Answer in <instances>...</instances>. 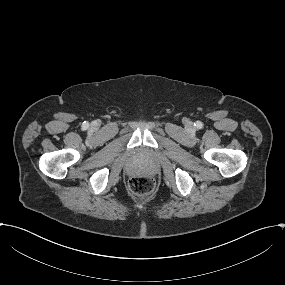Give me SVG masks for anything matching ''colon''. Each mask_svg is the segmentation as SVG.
Segmentation results:
<instances>
[{"mask_svg": "<svg viewBox=\"0 0 285 285\" xmlns=\"http://www.w3.org/2000/svg\"><path fill=\"white\" fill-rule=\"evenodd\" d=\"M129 188L136 195H149L155 189V181L147 175H135L129 180Z\"/></svg>", "mask_w": 285, "mask_h": 285, "instance_id": "colon-1", "label": "colon"}]
</instances>
